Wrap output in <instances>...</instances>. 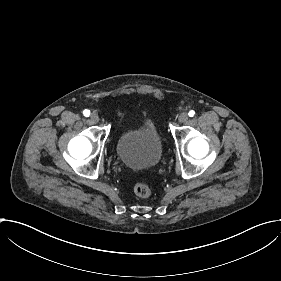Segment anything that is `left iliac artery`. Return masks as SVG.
<instances>
[{"instance_id": "left-iliac-artery-1", "label": "left iliac artery", "mask_w": 281, "mask_h": 281, "mask_svg": "<svg viewBox=\"0 0 281 281\" xmlns=\"http://www.w3.org/2000/svg\"><path fill=\"white\" fill-rule=\"evenodd\" d=\"M194 114H195V112H194L193 110H191V111L188 113V115H189L190 117H193Z\"/></svg>"}]
</instances>
